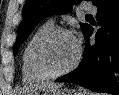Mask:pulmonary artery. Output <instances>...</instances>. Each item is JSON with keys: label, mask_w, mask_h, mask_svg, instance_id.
<instances>
[{"label": "pulmonary artery", "mask_w": 119, "mask_h": 95, "mask_svg": "<svg viewBox=\"0 0 119 95\" xmlns=\"http://www.w3.org/2000/svg\"><path fill=\"white\" fill-rule=\"evenodd\" d=\"M84 9L86 11H89V12H94L95 11V8L93 6H91V5H85Z\"/></svg>", "instance_id": "1"}]
</instances>
